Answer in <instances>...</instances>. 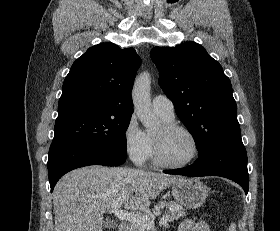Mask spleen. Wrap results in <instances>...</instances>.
Segmentation results:
<instances>
[{
  "mask_svg": "<svg viewBox=\"0 0 280 231\" xmlns=\"http://www.w3.org/2000/svg\"><path fill=\"white\" fill-rule=\"evenodd\" d=\"M229 231H236V225L235 223H231L230 227H229Z\"/></svg>",
  "mask_w": 280,
  "mask_h": 231,
  "instance_id": "spleen-1",
  "label": "spleen"
}]
</instances>
